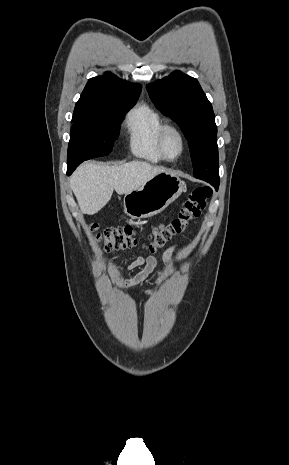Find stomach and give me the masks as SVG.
<instances>
[{
    "label": "stomach",
    "mask_w": 289,
    "mask_h": 465,
    "mask_svg": "<svg viewBox=\"0 0 289 465\" xmlns=\"http://www.w3.org/2000/svg\"><path fill=\"white\" fill-rule=\"evenodd\" d=\"M185 189V182L177 175L162 172L138 189L125 194L124 212L131 219H144L161 213Z\"/></svg>",
    "instance_id": "0dacf381"
}]
</instances>
